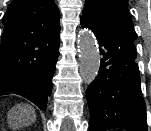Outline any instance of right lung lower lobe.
Masks as SVG:
<instances>
[{
  "label": "right lung lower lobe",
  "mask_w": 151,
  "mask_h": 131,
  "mask_svg": "<svg viewBox=\"0 0 151 131\" xmlns=\"http://www.w3.org/2000/svg\"><path fill=\"white\" fill-rule=\"evenodd\" d=\"M58 48L59 43L50 50L47 55V63L42 69L8 88L0 90V96L12 93L21 95L45 111L48 97L52 91V77L59 56Z\"/></svg>",
  "instance_id": "right-lung-lower-lobe-1"
}]
</instances>
